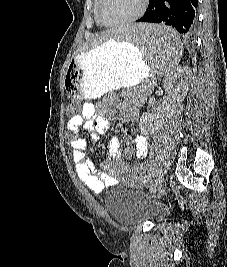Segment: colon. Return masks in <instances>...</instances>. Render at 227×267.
Listing matches in <instances>:
<instances>
[{
  "label": "colon",
  "mask_w": 227,
  "mask_h": 267,
  "mask_svg": "<svg viewBox=\"0 0 227 267\" xmlns=\"http://www.w3.org/2000/svg\"><path fill=\"white\" fill-rule=\"evenodd\" d=\"M81 109H82V106L81 105H78V102L75 101V100H73L69 104V109L67 111V116L80 115V110Z\"/></svg>",
  "instance_id": "5ec220e1"
}]
</instances>
